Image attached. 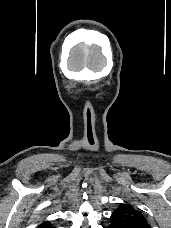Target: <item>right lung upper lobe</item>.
Listing matches in <instances>:
<instances>
[{
    "mask_svg": "<svg viewBox=\"0 0 171 228\" xmlns=\"http://www.w3.org/2000/svg\"><path fill=\"white\" fill-rule=\"evenodd\" d=\"M37 228H52V227H50L49 222H43Z\"/></svg>",
    "mask_w": 171,
    "mask_h": 228,
    "instance_id": "1",
    "label": "right lung upper lobe"
}]
</instances>
